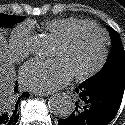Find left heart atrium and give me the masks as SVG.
Masks as SVG:
<instances>
[{"label":"left heart atrium","instance_id":"39dd6f15","mask_svg":"<svg viewBox=\"0 0 125 125\" xmlns=\"http://www.w3.org/2000/svg\"><path fill=\"white\" fill-rule=\"evenodd\" d=\"M72 77L73 74L59 57L51 60H31L20 71L22 85L39 93L56 90L67 84Z\"/></svg>","mask_w":125,"mask_h":125}]
</instances>
